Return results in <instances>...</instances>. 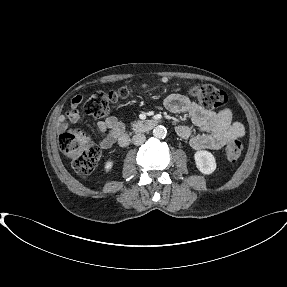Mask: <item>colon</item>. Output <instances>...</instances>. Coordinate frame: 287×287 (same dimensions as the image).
<instances>
[{
  "label": "colon",
  "instance_id": "obj_1",
  "mask_svg": "<svg viewBox=\"0 0 287 287\" xmlns=\"http://www.w3.org/2000/svg\"><path fill=\"white\" fill-rule=\"evenodd\" d=\"M187 93L203 107L208 109L219 108L228 102L227 94L210 85L197 84L190 86ZM130 95L128 87L108 92L98 91L92 93L84 102L86 113L95 117H105L110 105ZM61 151L71 160L74 170L80 175L90 174L96 167L100 157L98 146L83 132L79 130H67L59 137ZM243 152V144L239 139L231 140L226 148L225 155L228 161H238Z\"/></svg>",
  "mask_w": 287,
  "mask_h": 287
}]
</instances>
